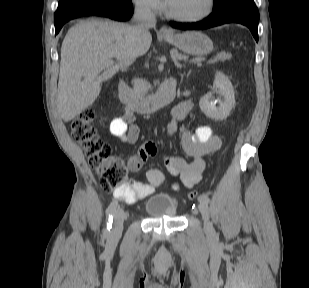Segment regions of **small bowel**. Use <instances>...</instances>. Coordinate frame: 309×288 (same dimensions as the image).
<instances>
[{"label":"small bowel","mask_w":309,"mask_h":288,"mask_svg":"<svg viewBox=\"0 0 309 288\" xmlns=\"http://www.w3.org/2000/svg\"><path fill=\"white\" fill-rule=\"evenodd\" d=\"M193 109V103L185 100L178 104L172 112V119L168 125V133L173 134L177 130L178 123L183 120ZM110 133L120 138L124 143L134 144L139 136V128L135 124L134 114L125 110L114 118L109 125ZM180 144L184 154L192 158L187 161L179 155H162L168 172L176 176L180 183L187 188L196 185L205 168V156L217 151L222 144L221 137L215 135L207 125L199 126L194 132L183 130ZM159 149L154 142H146L136 154L126 157V166L130 171L139 170L151 156L159 155ZM148 182L130 181L124 188L115 191L114 196L128 204L135 203L146 198L160 186L163 179L162 173L152 169L147 174Z\"/></svg>","instance_id":"1"}]
</instances>
